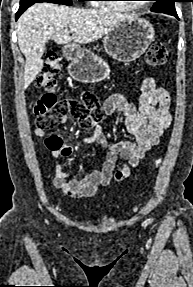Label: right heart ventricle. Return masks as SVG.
Masks as SVG:
<instances>
[{"instance_id": "right-heart-ventricle-1", "label": "right heart ventricle", "mask_w": 193, "mask_h": 287, "mask_svg": "<svg viewBox=\"0 0 193 287\" xmlns=\"http://www.w3.org/2000/svg\"><path fill=\"white\" fill-rule=\"evenodd\" d=\"M103 2L104 3L100 5V8L105 9V10L120 11V12L132 11L131 7L120 4L115 0H106Z\"/></svg>"}]
</instances>
